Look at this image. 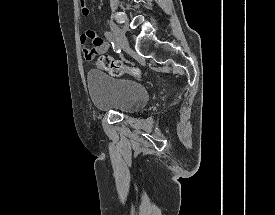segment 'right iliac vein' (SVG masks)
I'll return each instance as SVG.
<instances>
[{
	"label": "right iliac vein",
	"mask_w": 275,
	"mask_h": 215,
	"mask_svg": "<svg viewBox=\"0 0 275 215\" xmlns=\"http://www.w3.org/2000/svg\"><path fill=\"white\" fill-rule=\"evenodd\" d=\"M110 28L113 34L115 35L116 41L118 45L124 50V51H130V47L127 41V38L125 36V33L123 30H121L118 26L110 23Z\"/></svg>",
	"instance_id": "63e3f726"
}]
</instances>
